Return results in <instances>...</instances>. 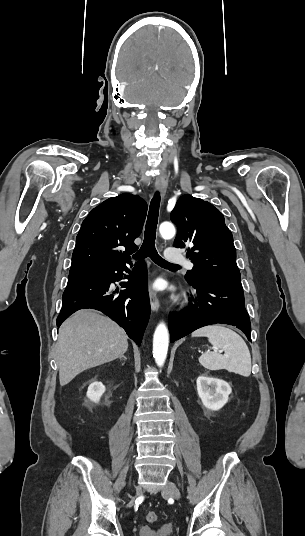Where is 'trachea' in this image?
<instances>
[{
  "mask_svg": "<svg viewBox=\"0 0 305 536\" xmlns=\"http://www.w3.org/2000/svg\"><path fill=\"white\" fill-rule=\"evenodd\" d=\"M160 200V192L157 191L154 194L150 203L149 213L145 225V235L143 243L137 253L133 255V258L136 260H141L149 256V258H151L154 263L159 266H162V268H166L168 270H177L180 268V266L174 265L173 263H169V261L164 260V258H162L158 254L155 248L156 228L158 224Z\"/></svg>",
  "mask_w": 305,
  "mask_h": 536,
  "instance_id": "3493384b",
  "label": "trachea"
}]
</instances>
